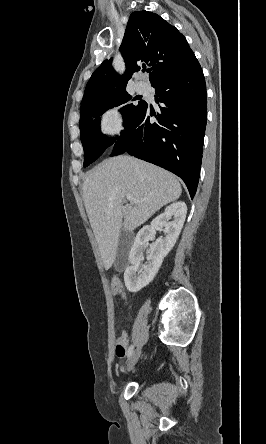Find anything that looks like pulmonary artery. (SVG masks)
Masks as SVG:
<instances>
[{
	"label": "pulmonary artery",
	"instance_id": "e3ab8cb5",
	"mask_svg": "<svg viewBox=\"0 0 266 444\" xmlns=\"http://www.w3.org/2000/svg\"><path fill=\"white\" fill-rule=\"evenodd\" d=\"M145 88H146V86H145V84L144 83H137L136 84V90H137V92H144L145 91Z\"/></svg>",
	"mask_w": 266,
	"mask_h": 444
}]
</instances>
